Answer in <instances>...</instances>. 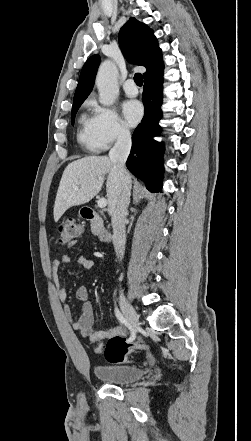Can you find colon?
<instances>
[{"instance_id": "1", "label": "colon", "mask_w": 251, "mask_h": 441, "mask_svg": "<svg viewBox=\"0 0 251 441\" xmlns=\"http://www.w3.org/2000/svg\"><path fill=\"white\" fill-rule=\"evenodd\" d=\"M81 234V226L74 220L68 219L59 225L57 229V240L60 244H66ZM150 346L143 342L128 343L121 336H113L106 344L96 347L97 352L104 354L106 360L111 364H122L130 362L129 353L134 350H148Z\"/></svg>"}]
</instances>
